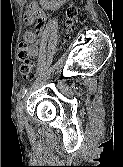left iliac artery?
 I'll use <instances>...</instances> for the list:
<instances>
[{
  "label": "left iliac artery",
  "instance_id": "left-iliac-artery-1",
  "mask_svg": "<svg viewBox=\"0 0 123 167\" xmlns=\"http://www.w3.org/2000/svg\"><path fill=\"white\" fill-rule=\"evenodd\" d=\"M26 92H27V88L24 87L23 89H21L17 95V99L21 100L24 97V95L26 94Z\"/></svg>",
  "mask_w": 123,
  "mask_h": 167
}]
</instances>
